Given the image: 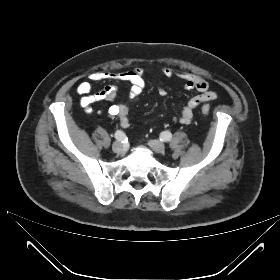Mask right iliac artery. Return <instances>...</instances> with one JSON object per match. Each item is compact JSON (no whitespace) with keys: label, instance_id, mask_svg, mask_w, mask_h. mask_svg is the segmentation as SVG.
<instances>
[{"label":"right iliac artery","instance_id":"82829eb1","mask_svg":"<svg viewBox=\"0 0 280 280\" xmlns=\"http://www.w3.org/2000/svg\"><path fill=\"white\" fill-rule=\"evenodd\" d=\"M115 138L120 141L121 143H124L127 140V136L126 134L121 131V130H117L115 133Z\"/></svg>","mask_w":280,"mask_h":280}]
</instances>
